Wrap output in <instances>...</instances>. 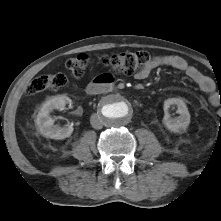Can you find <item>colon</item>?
<instances>
[{
    "label": "colon",
    "instance_id": "colon-1",
    "mask_svg": "<svg viewBox=\"0 0 221 221\" xmlns=\"http://www.w3.org/2000/svg\"><path fill=\"white\" fill-rule=\"evenodd\" d=\"M152 55L147 51L123 52L102 57V63L107 68L117 73L131 75L139 72L152 60ZM66 68L77 77H83L89 68L88 55L81 53L67 60ZM68 82L64 73H53L35 77L26 89L28 95H35L46 90H57ZM221 123V115L219 117Z\"/></svg>",
    "mask_w": 221,
    "mask_h": 221
}]
</instances>
